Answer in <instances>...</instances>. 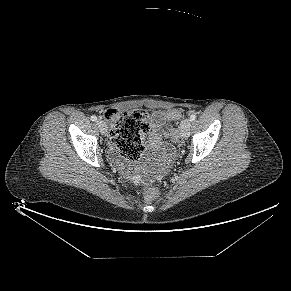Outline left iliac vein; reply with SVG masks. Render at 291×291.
Here are the masks:
<instances>
[{
  "label": "left iliac vein",
  "mask_w": 291,
  "mask_h": 291,
  "mask_svg": "<svg viewBox=\"0 0 291 291\" xmlns=\"http://www.w3.org/2000/svg\"><path fill=\"white\" fill-rule=\"evenodd\" d=\"M190 128H191V123L189 120H184L181 122L179 131H180V136L183 139H187L190 136Z\"/></svg>",
  "instance_id": "4c4485c4"
}]
</instances>
